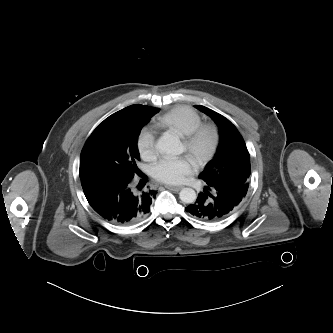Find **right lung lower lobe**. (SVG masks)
Segmentation results:
<instances>
[{
  "instance_id": "98d812e1",
  "label": "right lung lower lobe",
  "mask_w": 333,
  "mask_h": 333,
  "mask_svg": "<svg viewBox=\"0 0 333 333\" xmlns=\"http://www.w3.org/2000/svg\"><path fill=\"white\" fill-rule=\"evenodd\" d=\"M132 179L97 175L81 178V184L89 204L100 216L114 224L132 225L149 213L156 196L153 190L136 193ZM144 185L142 180L137 187L141 190Z\"/></svg>"
}]
</instances>
